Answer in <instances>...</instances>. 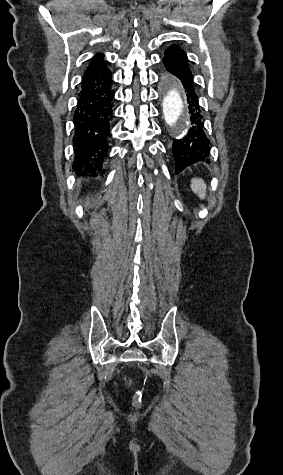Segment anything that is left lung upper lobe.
Segmentation results:
<instances>
[{"instance_id":"5c2ea615","label":"left lung upper lobe","mask_w":283,"mask_h":475,"mask_svg":"<svg viewBox=\"0 0 283 475\" xmlns=\"http://www.w3.org/2000/svg\"><path fill=\"white\" fill-rule=\"evenodd\" d=\"M167 51H170L174 56L187 58L186 53L176 45L170 46Z\"/></svg>"}]
</instances>
